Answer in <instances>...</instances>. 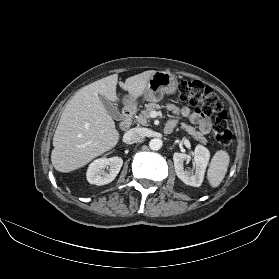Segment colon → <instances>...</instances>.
<instances>
[{
  "mask_svg": "<svg viewBox=\"0 0 279 279\" xmlns=\"http://www.w3.org/2000/svg\"><path fill=\"white\" fill-rule=\"evenodd\" d=\"M178 97L196 108L203 117H213V137L222 146L232 142V132L228 126L227 113L217 94L200 81H184L178 88Z\"/></svg>",
  "mask_w": 279,
  "mask_h": 279,
  "instance_id": "1",
  "label": "colon"
}]
</instances>
